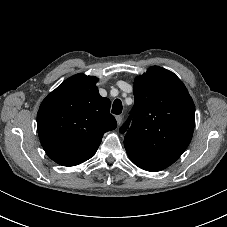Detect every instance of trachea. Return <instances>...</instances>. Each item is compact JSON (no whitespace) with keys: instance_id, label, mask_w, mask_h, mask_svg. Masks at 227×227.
Masks as SVG:
<instances>
[{"instance_id":"3493384b","label":"trachea","mask_w":227,"mask_h":227,"mask_svg":"<svg viewBox=\"0 0 227 227\" xmlns=\"http://www.w3.org/2000/svg\"><path fill=\"white\" fill-rule=\"evenodd\" d=\"M111 112L113 114L119 115L122 112V102L120 99H115L113 102L112 110Z\"/></svg>"}]
</instances>
